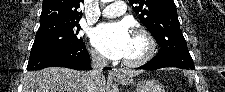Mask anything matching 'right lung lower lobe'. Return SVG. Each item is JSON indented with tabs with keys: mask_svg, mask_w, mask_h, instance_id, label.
Segmentation results:
<instances>
[{
	"mask_svg": "<svg viewBox=\"0 0 225 92\" xmlns=\"http://www.w3.org/2000/svg\"><path fill=\"white\" fill-rule=\"evenodd\" d=\"M66 67L76 70H89L90 56L84 43L78 46L52 48L30 53L28 70H38L46 67ZM108 69V68H105Z\"/></svg>",
	"mask_w": 225,
	"mask_h": 92,
	"instance_id": "98d812e1",
	"label": "right lung lower lobe"
}]
</instances>
